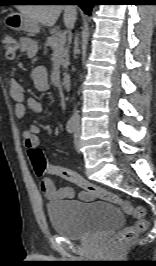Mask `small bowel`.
Returning <instances> with one entry per match:
<instances>
[{"label": "small bowel", "mask_w": 156, "mask_h": 266, "mask_svg": "<svg viewBox=\"0 0 156 266\" xmlns=\"http://www.w3.org/2000/svg\"><path fill=\"white\" fill-rule=\"evenodd\" d=\"M19 49L29 57L35 56L38 51L36 42L29 37H22L20 39ZM32 77L35 87L38 90L44 91L48 89L49 80L45 67L40 66L35 68ZM9 95L15 103L14 114L19 120L24 118L27 108L36 113H41L43 111L42 104L37 99L26 97L23 87L16 79H11L9 82ZM40 134L41 129L37 125H31L23 131V139L28 152L33 148H38ZM41 188L44 195L50 200L72 199L75 196L73 188H57L55 181L49 177L44 178ZM79 197L81 200L87 202L94 199L92 195L85 191L80 192Z\"/></svg>", "instance_id": "obj_1"}]
</instances>
